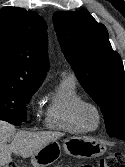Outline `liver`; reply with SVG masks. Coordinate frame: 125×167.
Instances as JSON below:
<instances>
[{"instance_id":"6515ba94","label":"liver","mask_w":125,"mask_h":167,"mask_svg":"<svg viewBox=\"0 0 125 167\" xmlns=\"http://www.w3.org/2000/svg\"><path fill=\"white\" fill-rule=\"evenodd\" d=\"M63 136L61 132H16L15 126L5 121H0V167L12 162L11 155L15 153L22 158L35 154L50 142ZM13 137V141H7Z\"/></svg>"}]
</instances>
